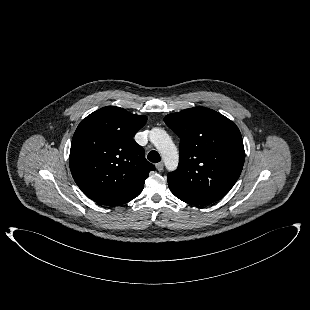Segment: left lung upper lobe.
Returning a JSON list of instances; mask_svg holds the SVG:
<instances>
[{
	"mask_svg": "<svg viewBox=\"0 0 310 310\" xmlns=\"http://www.w3.org/2000/svg\"><path fill=\"white\" fill-rule=\"evenodd\" d=\"M181 139L179 165L167 176L169 187L183 194L218 201L238 180L245 160L238 127L205 107L165 116Z\"/></svg>",
	"mask_w": 310,
	"mask_h": 310,
	"instance_id": "left-lung-upper-lobe-1",
	"label": "left lung upper lobe"
}]
</instances>
